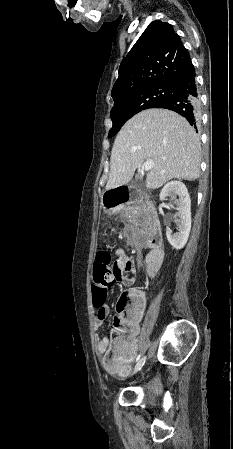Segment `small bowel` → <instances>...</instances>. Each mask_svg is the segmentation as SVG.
Listing matches in <instances>:
<instances>
[{
	"instance_id": "1",
	"label": "small bowel",
	"mask_w": 233,
	"mask_h": 449,
	"mask_svg": "<svg viewBox=\"0 0 233 449\" xmlns=\"http://www.w3.org/2000/svg\"><path fill=\"white\" fill-rule=\"evenodd\" d=\"M114 255L115 262L111 269L110 281L112 283L121 281L127 287L133 286L135 282L133 276V272L135 270L134 259L120 248L115 249ZM143 279L145 281H152L154 279V274L152 272H145L143 274ZM109 313L110 308L107 305H104L103 308L97 310V315L94 319L95 329H98L101 326L103 320L109 315ZM138 331L130 338L127 348L123 352L115 351V349L112 348L110 339L107 336L98 338L96 341V352L101 358L102 363L106 355H111L113 358L121 361V364L112 369L116 374L120 376H123L128 372L130 364L135 358L137 351L136 341Z\"/></svg>"
}]
</instances>
